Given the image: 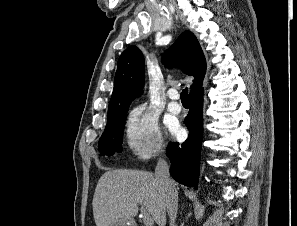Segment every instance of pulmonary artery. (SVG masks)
I'll list each match as a JSON object with an SVG mask.
<instances>
[{"mask_svg": "<svg viewBox=\"0 0 297 226\" xmlns=\"http://www.w3.org/2000/svg\"><path fill=\"white\" fill-rule=\"evenodd\" d=\"M168 96L170 98V102L168 104V110L172 114H178L181 111V104L177 102L178 93L176 90L172 89L169 91Z\"/></svg>", "mask_w": 297, "mask_h": 226, "instance_id": "1", "label": "pulmonary artery"}]
</instances>
